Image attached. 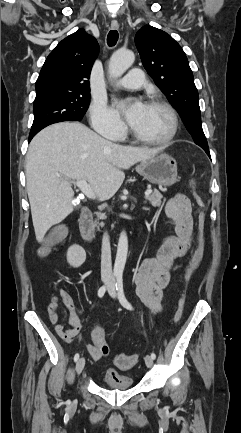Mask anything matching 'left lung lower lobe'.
<instances>
[{"instance_id":"1","label":"left lung lower lobe","mask_w":241,"mask_h":433,"mask_svg":"<svg viewBox=\"0 0 241 433\" xmlns=\"http://www.w3.org/2000/svg\"><path fill=\"white\" fill-rule=\"evenodd\" d=\"M205 152L208 154V156L210 157V152H209V148L208 149H204Z\"/></svg>"}]
</instances>
